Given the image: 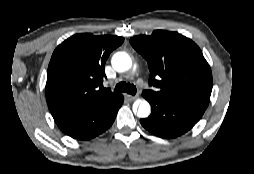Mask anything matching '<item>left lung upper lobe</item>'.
Wrapping results in <instances>:
<instances>
[{"instance_id": "obj_1", "label": "left lung upper lobe", "mask_w": 254, "mask_h": 174, "mask_svg": "<svg viewBox=\"0 0 254 174\" xmlns=\"http://www.w3.org/2000/svg\"><path fill=\"white\" fill-rule=\"evenodd\" d=\"M133 48L148 62L149 83L160 90H144L171 105L204 113L212 91V74L200 48L177 33L156 30L152 35L130 39Z\"/></svg>"}]
</instances>
